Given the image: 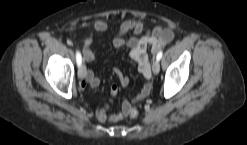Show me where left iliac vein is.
I'll return each instance as SVG.
<instances>
[{
  "label": "left iliac vein",
  "instance_id": "1",
  "mask_svg": "<svg viewBox=\"0 0 247 145\" xmlns=\"http://www.w3.org/2000/svg\"><path fill=\"white\" fill-rule=\"evenodd\" d=\"M160 70V64L159 61L156 59L152 64V71L154 74H158Z\"/></svg>",
  "mask_w": 247,
  "mask_h": 145
}]
</instances>
